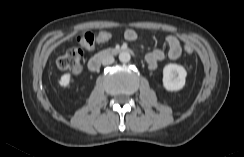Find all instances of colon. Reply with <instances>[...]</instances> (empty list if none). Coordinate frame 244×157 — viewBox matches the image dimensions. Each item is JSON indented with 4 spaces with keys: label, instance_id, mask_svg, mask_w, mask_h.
<instances>
[{
    "label": "colon",
    "instance_id": "1",
    "mask_svg": "<svg viewBox=\"0 0 244 157\" xmlns=\"http://www.w3.org/2000/svg\"><path fill=\"white\" fill-rule=\"evenodd\" d=\"M112 39V33L101 31L97 34L86 32L77 37L78 46L69 48L64 54L56 60V66L60 71L79 74L82 71L81 60L83 58V49H93L97 44H103ZM184 51L187 54L193 52V46L186 44Z\"/></svg>",
    "mask_w": 244,
    "mask_h": 157
}]
</instances>
